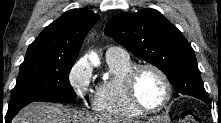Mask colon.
Here are the masks:
<instances>
[{
	"instance_id": "5ec220e1",
	"label": "colon",
	"mask_w": 221,
	"mask_h": 123,
	"mask_svg": "<svg viewBox=\"0 0 221 123\" xmlns=\"http://www.w3.org/2000/svg\"><path fill=\"white\" fill-rule=\"evenodd\" d=\"M179 123H202V119L194 112L186 110L181 113Z\"/></svg>"
}]
</instances>
